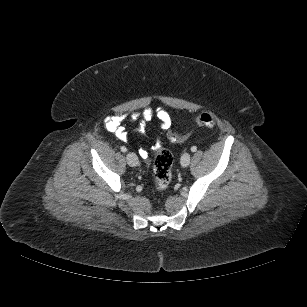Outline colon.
<instances>
[{"label": "colon", "mask_w": 307, "mask_h": 307, "mask_svg": "<svg viewBox=\"0 0 307 307\" xmlns=\"http://www.w3.org/2000/svg\"><path fill=\"white\" fill-rule=\"evenodd\" d=\"M196 125L199 127L212 128L216 125L215 118L209 113H203L196 119ZM190 133L178 135L172 131L168 132V138L172 142H182L188 138ZM172 153L165 148L158 147L155 151L153 176L156 187L164 190L168 187L172 178Z\"/></svg>", "instance_id": "colon-1"}]
</instances>
